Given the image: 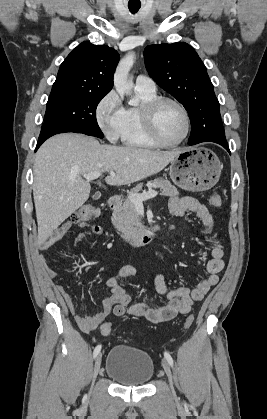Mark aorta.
<instances>
[{"mask_svg": "<svg viewBox=\"0 0 267 419\" xmlns=\"http://www.w3.org/2000/svg\"><path fill=\"white\" fill-rule=\"evenodd\" d=\"M135 60V55L133 53H128L121 61L119 62L115 74H114V86L116 91L120 96L131 95L133 82L128 80V74L131 70ZM130 105H138L137 99H132L129 102Z\"/></svg>", "mask_w": 267, "mask_h": 419, "instance_id": "obj_1", "label": "aorta"}]
</instances>
